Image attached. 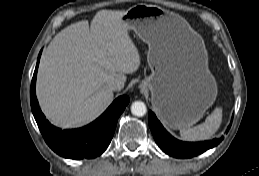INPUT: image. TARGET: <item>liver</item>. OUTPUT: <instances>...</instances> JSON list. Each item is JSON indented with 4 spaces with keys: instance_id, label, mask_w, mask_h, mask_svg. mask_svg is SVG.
I'll list each match as a JSON object with an SVG mask.
<instances>
[{
    "instance_id": "liver-1",
    "label": "liver",
    "mask_w": 259,
    "mask_h": 176,
    "mask_svg": "<svg viewBox=\"0 0 259 176\" xmlns=\"http://www.w3.org/2000/svg\"><path fill=\"white\" fill-rule=\"evenodd\" d=\"M125 11L100 10L60 31L44 51L36 95L47 119L75 128L96 119L113 101L110 84L126 81L140 56L121 18Z\"/></svg>"
}]
</instances>
